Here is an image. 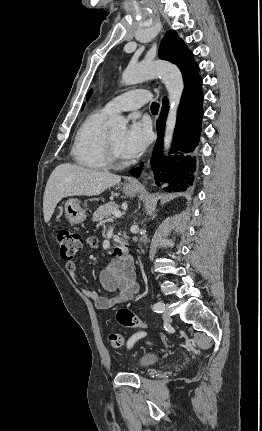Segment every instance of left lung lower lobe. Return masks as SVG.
I'll return each instance as SVG.
<instances>
[{"mask_svg":"<svg viewBox=\"0 0 262 431\" xmlns=\"http://www.w3.org/2000/svg\"><path fill=\"white\" fill-rule=\"evenodd\" d=\"M202 80L199 79L184 88L181 103L178 109L177 123L174 133L172 152L176 155L162 157L163 132L168 112V101L163 99L161 114L157 120L159 138L156 142L151 166L155 173L156 184H166V191H185L192 185L193 173L196 169V160L189 154L194 152L198 145L201 133V120L203 116ZM136 168L131 174L137 176L143 167ZM160 183H159V182Z\"/></svg>","mask_w":262,"mask_h":431,"instance_id":"obj_1","label":"left lung lower lobe"}]
</instances>
